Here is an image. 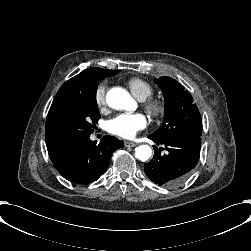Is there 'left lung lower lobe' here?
<instances>
[{
  "instance_id": "obj_1",
  "label": "left lung lower lobe",
  "mask_w": 251,
  "mask_h": 251,
  "mask_svg": "<svg viewBox=\"0 0 251 251\" xmlns=\"http://www.w3.org/2000/svg\"><path fill=\"white\" fill-rule=\"evenodd\" d=\"M157 145H165L166 154L161 155L154 146L153 160L144 165L145 174L160 186L172 187L182 183L198 163L201 149V136L187 135L159 140L148 136Z\"/></svg>"
}]
</instances>
